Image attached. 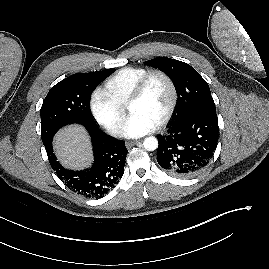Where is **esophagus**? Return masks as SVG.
Here are the masks:
<instances>
[{
	"label": "esophagus",
	"instance_id": "obj_1",
	"mask_svg": "<svg viewBox=\"0 0 269 269\" xmlns=\"http://www.w3.org/2000/svg\"><path fill=\"white\" fill-rule=\"evenodd\" d=\"M139 141H128L126 142V148H131L132 146L136 145Z\"/></svg>",
	"mask_w": 269,
	"mask_h": 269
}]
</instances>
